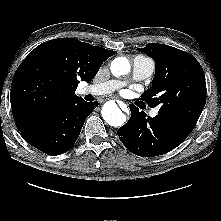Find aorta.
Instances as JSON below:
<instances>
[{
  "mask_svg": "<svg viewBox=\"0 0 221 221\" xmlns=\"http://www.w3.org/2000/svg\"><path fill=\"white\" fill-rule=\"evenodd\" d=\"M110 69L114 76H123L130 71V63L127 58L118 57L112 61ZM102 117L107 124L114 127H120L126 121V116L113 101L105 103L102 108Z\"/></svg>",
  "mask_w": 221,
  "mask_h": 221,
  "instance_id": "762f6f07",
  "label": "aorta"
}]
</instances>
